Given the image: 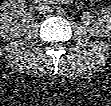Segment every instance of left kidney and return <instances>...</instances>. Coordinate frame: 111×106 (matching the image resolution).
<instances>
[{
	"label": "left kidney",
	"instance_id": "1",
	"mask_svg": "<svg viewBox=\"0 0 111 106\" xmlns=\"http://www.w3.org/2000/svg\"><path fill=\"white\" fill-rule=\"evenodd\" d=\"M102 17L98 18L91 26H89V31L93 35L107 36L111 34V9L102 8Z\"/></svg>",
	"mask_w": 111,
	"mask_h": 106
}]
</instances>
